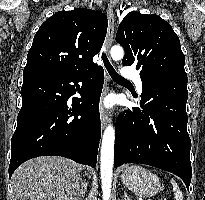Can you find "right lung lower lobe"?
<instances>
[{
    "instance_id": "right-lung-lower-lobe-1",
    "label": "right lung lower lobe",
    "mask_w": 205,
    "mask_h": 200,
    "mask_svg": "<svg viewBox=\"0 0 205 200\" xmlns=\"http://www.w3.org/2000/svg\"><path fill=\"white\" fill-rule=\"evenodd\" d=\"M78 82L84 85L81 90ZM103 82L102 67L83 73L23 72L22 108L11 139L9 178L19 165L38 156H62L96 166ZM77 90L81 98L71 99Z\"/></svg>"
}]
</instances>
